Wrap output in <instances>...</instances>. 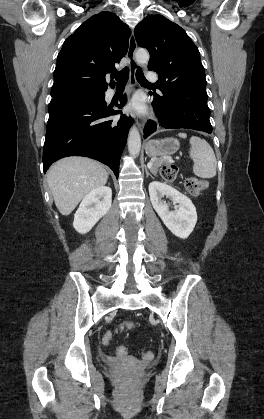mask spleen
Listing matches in <instances>:
<instances>
[{"instance_id":"spleen-1","label":"spleen","mask_w":264,"mask_h":419,"mask_svg":"<svg viewBox=\"0 0 264 419\" xmlns=\"http://www.w3.org/2000/svg\"><path fill=\"white\" fill-rule=\"evenodd\" d=\"M179 137L186 138V133H179ZM190 157L194 161L193 173L200 178H213L216 175L217 162L210 144L200 137L190 138Z\"/></svg>"}]
</instances>
